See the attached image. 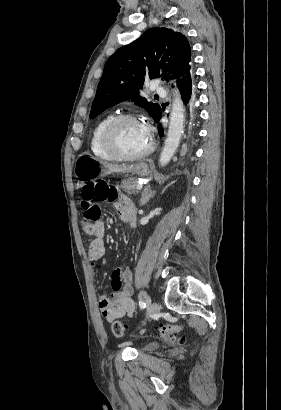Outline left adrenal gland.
Returning <instances> with one entry per match:
<instances>
[{
    "instance_id": "obj_1",
    "label": "left adrenal gland",
    "mask_w": 281,
    "mask_h": 410,
    "mask_svg": "<svg viewBox=\"0 0 281 410\" xmlns=\"http://www.w3.org/2000/svg\"><path fill=\"white\" fill-rule=\"evenodd\" d=\"M155 194L156 190L152 191L150 186L145 187L144 191L142 192L140 206L145 205L150 200V198L154 197Z\"/></svg>"
}]
</instances>
